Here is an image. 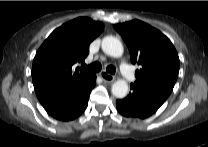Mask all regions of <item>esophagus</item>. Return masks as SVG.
Instances as JSON below:
<instances>
[{
    "instance_id": "34e87169",
    "label": "esophagus",
    "mask_w": 208,
    "mask_h": 147,
    "mask_svg": "<svg viewBox=\"0 0 208 147\" xmlns=\"http://www.w3.org/2000/svg\"><path fill=\"white\" fill-rule=\"evenodd\" d=\"M100 76L105 82H108V83H112L116 79L115 76H112L111 74H109L105 71L101 72Z\"/></svg>"
}]
</instances>
